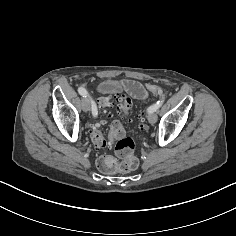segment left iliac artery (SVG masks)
I'll use <instances>...</instances> for the list:
<instances>
[{"label": "left iliac artery", "mask_w": 236, "mask_h": 236, "mask_svg": "<svg viewBox=\"0 0 236 236\" xmlns=\"http://www.w3.org/2000/svg\"><path fill=\"white\" fill-rule=\"evenodd\" d=\"M163 102H164V98L161 99V100H159V101H157L155 104H153L152 106H150V107L148 108V112H149V113L156 112V111L161 107V105L163 104Z\"/></svg>", "instance_id": "obj_1"}]
</instances>
